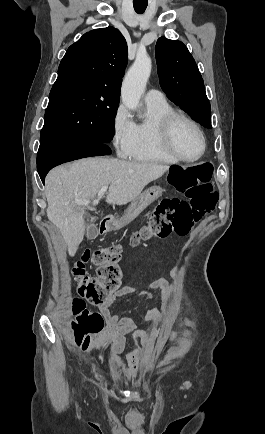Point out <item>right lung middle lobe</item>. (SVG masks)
I'll return each instance as SVG.
<instances>
[{
	"label": "right lung middle lobe",
	"instance_id": "right-lung-middle-lobe-1",
	"mask_svg": "<svg viewBox=\"0 0 265 434\" xmlns=\"http://www.w3.org/2000/svg\"><path fill=\"white\" fill-rule=\"evenodd\" d=\"M120 92L88 80L55 82L45 112L41 139L57 137L74 142L108 143Z\"/></svg>",
	"mask_w": 265,
	"mask_h": 434
}]
</instances>
